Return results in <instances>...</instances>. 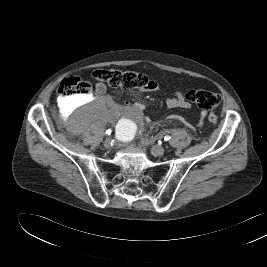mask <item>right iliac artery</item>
I'll list each match as a JSON object with an SVG mask.
<instances>
[{
    "label": "right iliac artery",
    "instance_id": "1",
    "mask_svg": "<svg viewBox=\"0 0 267 267\" xmlns=\"http://www.w3.org/2000/svg\"><path fill=\"white\" fill-rule=\"evenodd\" d=\"M111 132H112V130H111V129H108V130L106 131V134L110 135Z\"/></svg>",
    "mask_w": 267,
    "mask_h": 267
}]
</instances>
